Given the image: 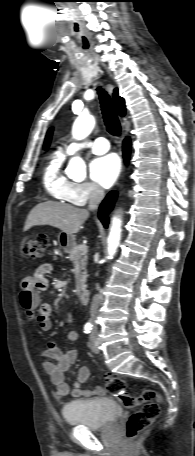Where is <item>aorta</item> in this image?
<instances>
[{
	"label": "aorta",
	"mask_w": 195,
	"mask_h": 456,
	"mask_svg": "<svg viewBox=\"0 0 195 456\" xmlns=\"http://www.w3.org/2000/svg\"><path fill=\"white\" fill-rule=\"evenodd\" d=\"M94 126V117L88 114H82L73 124L72 135L76 140H83L91 133ZM67 174L71 178H83L86 175V164L84 160L79 156L72 157L67 166ZM121 224V219L118 216H114L107 239L108 259L113 258L119 246L122 232Z\"/></svg>",
	"instance_id": "762f6f07"
}]
</instances>
